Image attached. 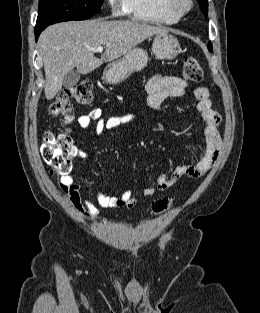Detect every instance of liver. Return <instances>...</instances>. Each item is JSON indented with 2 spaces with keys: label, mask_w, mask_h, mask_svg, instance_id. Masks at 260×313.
<instances>
[{
  "label": "liver",
  "mask_w": 260,
  "mask_h": 313,
  "mask_svg": "<svg viewBox=\"0 0 260 313\" xmlns=\"http://www.w3.org/2000/svg\"><path fill=\"white\" fill-rule=\"evenodd\" d=\"M168 31L166 27L134 20L92 19L56 23L47 27L38 40L46 77V99L51 100L56 96L62 88L65 75L74 68L86 75L103 62H111L125 55L147 38ZM98 46L105 47L100 59L91 50Z\"/></svg>",
  "instance_id": "liver-1"
}]
</instances>
